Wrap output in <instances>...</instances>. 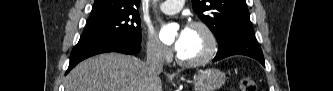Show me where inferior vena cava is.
I'll return each instance as SVG.
<instances>
[{"label": "inferior vena cava", "mask_w": 333, "mask_h": 91, "mask_svg": "<svg viewBox=\"0 0 333 91\" xmlns=\"http://www.w3.org/2000/svg\"><path fill=\"white\" fill-rule=\"evenodd\" d=\"M164 60L165 55L163 44H155L148 47L145 65L147 67L148 74L152 79L157 78L163 71Z\"/></svg>", "instance_id": "602c4592"}]
</instances>
